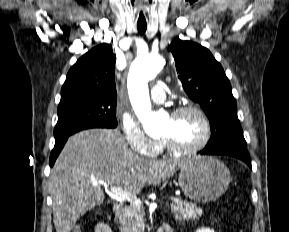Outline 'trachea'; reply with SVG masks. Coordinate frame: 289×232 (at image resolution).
<instances>
[{
  "mask_svg": "<svg viewBox=\"0 0 289 232\" xmlns=\"http://www.w3.org/2000/svg\"><path fill=\"white\" fill-rule=\"evenodd\" d=\"M137 29H138V32L140 34H144L146 32L147 25L146 24H137Z\"/></svg>",
  "mask_w": 289,
  "mask_h": 232,
  "instance_id": "3493384b",
  "label": "trachea"
}]
</instances>
